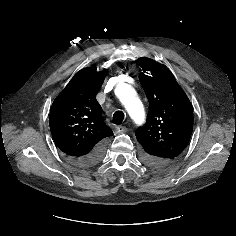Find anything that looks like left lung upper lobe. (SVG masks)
<instances>
[{
    "instance_id": "1",
    "label": "left lung upper lobe",
    "mask_w": 236,
    "mask_h": 236,
    "mask_svg": "<svg viewBox=\"0 0 236 236\" xmlns=\"http://www.w3.org/2000/svg\"><path fill=\"white\" fill-rule=\"evenodd\" d=\"M140 83L149 101L144 126L136 129L143 161L156 168L172 164L186 148L193 130L191 103L164 65L146 57L136 61Z\"/></svg>"
}]
</instances>
